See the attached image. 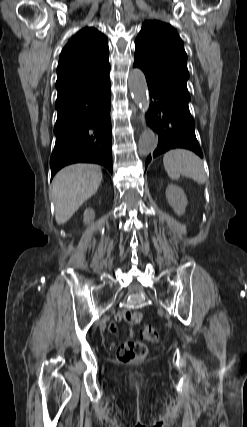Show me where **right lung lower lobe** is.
Masks as SVG:
<instances>
[{"label": "right lung lower lobe", "mask_w": 247, "mask_h": 427, "mask_svg": "<svg viewBox=\"0 0 247 427\" xmlns=\"http://www.w3.org/2000/svg\"><path fill=\"white\" fill-rule=\"evenodd\" d=\"M110 99L109 77L93 87L57 98L51 178L62 167L77 162L97 163L112 173Z\"/></svg>", "instance_id": "obj_1"}]
</instances>
